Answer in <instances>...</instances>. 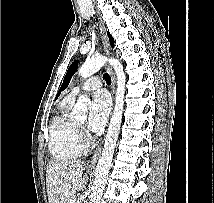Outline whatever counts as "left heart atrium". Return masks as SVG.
<instances>
[{
  "label": "left heart atrium",
  "instance_id": "39dd6f15",
  "mask_svg": "<svg viewBox=\"0 0 214 203\" xmlns=\"http://www.w3.org/2000/svg\"><path fill=\"white\" fill-rule=\"evenodd\" d=\"M110 113V101L104 91H98L93 99L90 114L88 119V126L92 131L101 130L107 121Z\"/></svg>",
  "mask_w": 214,
  "mask_h": 203
}]
</instances>
